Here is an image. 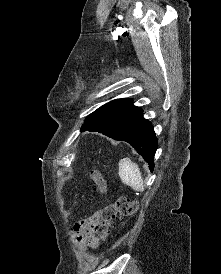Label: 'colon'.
I'll return each mask as SVG.
<instances>
[{
	"label": "colon",
	"mask_w": 221,
	"mask_h": 274,
	"mask_svg": "<svg viewBox=\"0 0 221 274\" xmlns=\"http://www.w3.org/2000/svg\"><path fill=\"white\" fill-rule=\"evenodd\" d=\"M90 177L94 183V189L99 193L106 191V184L97 170L91 171ZM138 204L135 200L119 197L114 203L105 207L101 212V221L98 226V234L103 241L108 240L112 235V225L115 220L131 216L136 212Z\"/></svg>",
	"instance_id": "1"
}]
</instances>
